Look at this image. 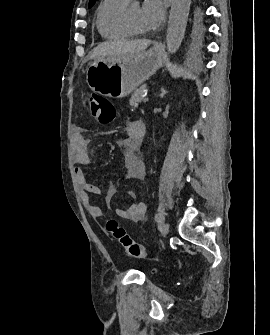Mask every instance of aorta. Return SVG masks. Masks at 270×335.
<instances>
[{
  "mask_svg": "<svg viewBox=\"0 0 270 335\" xmlns=\"http://www.w3.org/2000/svg\"><path fill=\"white\" fill-rule=\"evenodd\" d=\"M191 0H173L167 30V50L175 54L184 38Z\"/></svg>",
  "mask_w": 270,
  "mask_h": 335,
  "instance_id": "1",
  "label": "aorta"
}]
</instances>
